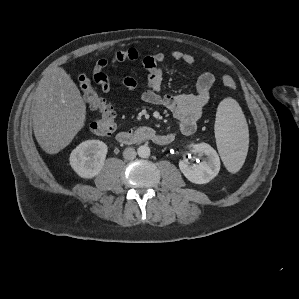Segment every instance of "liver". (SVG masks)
I'll use <instances>...</instances> for the list:
<instances>
[{
	"mask_svg": "<svg viewBox=\"0 0 299 299\" xmlns=\"http://www.w3.org/2000/svg\"><path fill=\"white\" fill-rule=\"evenodd\" d=\"M33 130L40 147L56 154L83 128L86 105L71 77L61 67H49L34 96Z\"/></svg>",
	"mask_w": 299,
	"mask_h": 299,
	"instance_id": "1",
	"label": "liver"
}]
</instances>
